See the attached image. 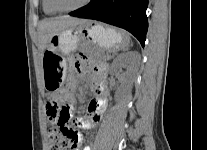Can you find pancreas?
I'll return each mask as SVG.
<instances>
[{"label":"pancreas","mask_w":207,"mask_h":150,"mask_svg":"<svg viewBox=\"0 0 207 150\" xmlns=\"http://www.w3.org/2000/svg\"><path fill=\"white\" fill-rule=\"evenodd\" d=\"M104 60H106V55L103 57Z\"/></svg>","instance_id":"pancreas-1"}]
</instances>
